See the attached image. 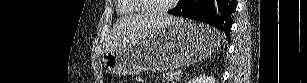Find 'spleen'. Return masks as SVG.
I'll return each instance as SVG.
<instances>
[{"mask_svg": "<svg viewBox=\"0 0 307 83\" xmlns=\"http://www.w3.org/2000/svg\"><path fill=\"white\" fill-rule=\"evenodd\" d=\"M219 38H220V41H222L224 39L223 34H220V32H219Z\"/></svg>", "mask_w": 307, "mask_h": 83, "instance_id": "obj_1", "label": "spleen"}]
</instances>
